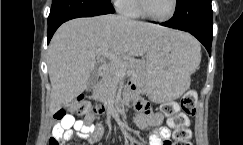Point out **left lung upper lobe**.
I'll list each match as a JSON object with an SVG mask.
<instances>
[{
  "label": "left lung upper lobe",
  "mask_w": 243,
  "mask_h": 145,
  "mask_svg": "<svg viewBox=\"0 0 243 145\" xmlns=\"http://www.w3.org/2000/svg\"><path fill=\"white\" fill-rule=\"evenodd\" d=\"M175 13L199 31L212 33L211 0H176Z\"/></svg>",
  "instance_id": "obj_1"
}]
</instances>
